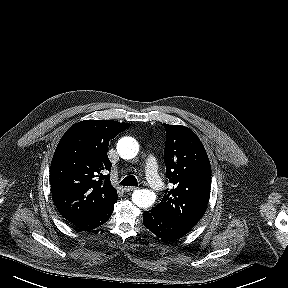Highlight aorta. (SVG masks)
<instances>
[{
    "mask_svg": "<svg viewBox=\"0 0 288 288\" xmlns=\"http://www.w3.org/2000/svg\"><path fill=\"white\" fill-rule=\"evenodd\" d=\"M139 151L138 142L132 137H123L118 141L117 152L123 159L134 158ZM156 194L148 189L136 190L132 194V202L140 208H148L154 204Z\"/></svg>",
    "mask_w": 288,
    "mask_h": 288,
    "instance_id": "1",
    "label": "aorta"
}]
</instances>
